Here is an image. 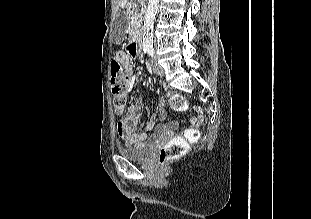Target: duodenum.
I'll use <instances>...</instances> for the list:
<instances>
[{"label":"duodenum","instance_id":"duodenum-1","mask_svg":"<svg viewBox=\"0 0 311 219\" xmlns=\"http://www.w3.org/2000/svg\"><path fill=\"white\" fill-rule=\"evenodd\" d=\"M142 46L141 40L138 36H135L130 44V48L140 49Z\"/></svg>","mask_w":311,"mask_h":219}]
</instances>
